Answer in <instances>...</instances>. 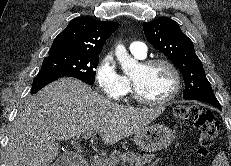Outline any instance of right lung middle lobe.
Instances as JSON below:
<instances>
[{"label": "right lung middle lobe", "mask_w": 231, "mask_h": 166, "mask_svg": "<svg viewBox=\"0 0 231 166\" xmlns=\"http://www.w3.org/2000/svg\"><path fill=\"white\" fill-rule=\"evenodd\" d=\"M98 62L99 55L68 51L49 52L40 71L77 78L91 85L95 81L94 69L97 68Z\"/></svg>", "instance_id": "right-lung-middle-lobe-1"}]
</instances>
